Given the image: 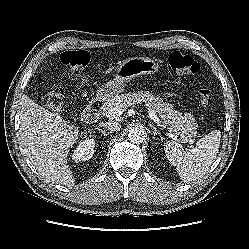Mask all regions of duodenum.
<instances>
[{
  "label": "duodenum",
  "mask_w": 249,
  "mask_h": 249,
  "mask_svg": "<svg viewBox=\"0 0 249 249\" xmlns=\"http://www.w3.org/2000/svg\"><path fill=\"white\" fill-rule=\"evenodd\" d=\"M103 107L101 98L92 99L82 112V118L87 122L96 121Z\"/></svg>",
  "instance_id": "obj_1"
}]
</instances>
